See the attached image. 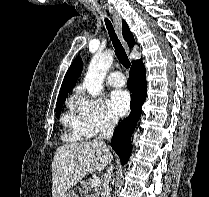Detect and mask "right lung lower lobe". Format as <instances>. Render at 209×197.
<instances>
[{"instance_id": "98d812e1", "label": "right lung lower lobe", "mask_w": 209, "mask_h": 197, "mask_svg": "<svg viewBox=\"0 0 209 197\" xmlns=\"http://www.w3.org/2000/svg\"><path fill=\"white\" fill-rule=\"evenodd\" d=\"M131 95V113L115 128L111 145L119 156L121 163L125 164L132 152L131 136L140 118L142 105L146 99V70L142 60L133 62L127 83Z\"/></svg>"}]
</instances>
